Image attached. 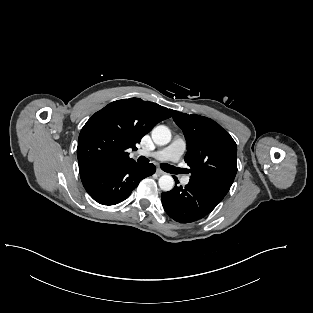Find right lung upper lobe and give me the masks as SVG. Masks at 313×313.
<instances>
[{
	"instance_id": "cb5924a9",
	"label": "right lung upper lobe",
	"mask_w": 313,
	"mask_h": 313,
	"mask_svg": "<svg viewBox=\"0 0 313 313\" xmlns=\"http://www.w3.org/2000/svg\"><path fill=\"white\" fill-rule=\"evenodd\" d=\"M172 112V111H171ZM170 111L140 98L114 101L96 112L83 126L77 147L79 172L135 164L128 149H136L141 138Z\"/></svg>"
}]
</instances>
